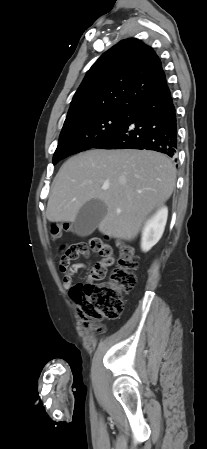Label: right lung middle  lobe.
Listing matches in <instances>:
<instances>
[{
	"instance_id": "1",
	"label": "right lung middle lobe",
	"mask_w": 207,
	"mask_h": 449,
	"mask_svg": "<svg viewBox=\"0 0 207 449\" xmlns=\"http://www.w3.org/2000/svg\"><path fill=\"white\" fill-rule=\"evenodd\" d=\"M134 111L129 108L105 109L66 119L53 164L69 155L93 148L121 128Z\"/></svg>"
}]
</instances>
